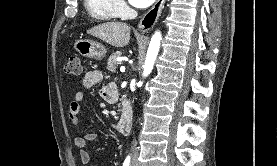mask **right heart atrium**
Segmentation results:
<instances>
[{
    "mask_svg": "<svg viewBox=\"0 0 277 166\" xmlns=\"http://www.w3.org/2000/svg\"><path fill=\"white\" fill-rule=\"evenodd\" d=\"M116 1V6L119 10L120 13H126L128 8L126 6V4L124 3L123 0H115Z\"/></svg>",
    "mask_w": 277,
    "mask_h": 166,
    "instance_id": "obj_1",
    "label": "right heart atrium"
}]
</instances>
